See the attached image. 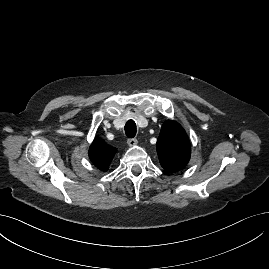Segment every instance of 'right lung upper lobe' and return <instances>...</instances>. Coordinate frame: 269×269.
Returning <instances> with one entry per match:
<instances>
[{"mask_svg": "<svg viewBox=\"0 0 269 269\" xmlns=\"http://www.w3.org/2000/svg\"><path fill=\"white\" fill-rule=\"evenodd\" d=\"M117 149L108 145L103 139L95 138L89 149V158L102 171H106Z\"/></svg>", "mask_w": 269, "mask_h": 269, "instance_id": "right-lung-upper-lobe-1", "label": "right lung upper lobe"}]
</instances>
